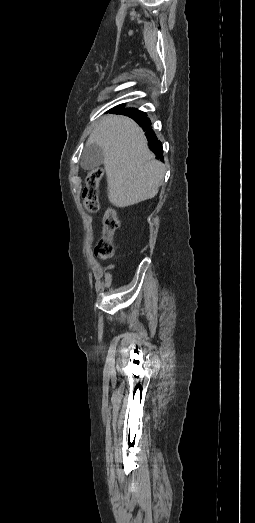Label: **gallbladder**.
<instances>
[{
    "label": "gallbladder",
    "instance_id": "obj_1",
    "mask_svg": "<svg viewBox=\"0 0 255 523\" xmlns=\"http://www.w3.org/2000/svg\"><path fill=\"white\" fill-rule=\"evenodd\" d=\"M104 150L98 144H89L82 152L80 166L83 170H94L104 162Z\"/></svg>",
    "mask_w": 255,
    "mask_h": 523
}]
</instances>
